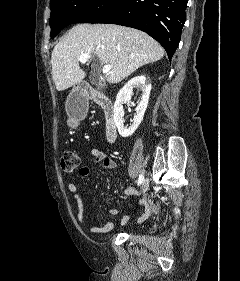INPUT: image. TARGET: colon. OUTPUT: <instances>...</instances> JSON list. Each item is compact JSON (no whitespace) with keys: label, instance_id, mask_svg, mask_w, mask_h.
I'll use <instances>...</instances> for the list:
<instances>
[{"label":"colon","instance_id":"1","mask_svg":"<svg viewBox=\"0 0 240 281\" xmlns=\"http://www.w3.org/2000/svg\"><path fill=\"white\" fill-rule=\"evenodd\" d=\"M81 164L79 154L75 150H67L61 158V167L64 171L72 172Z\"/></svg>","mask_w":240,"mask_h":281}]
</instances>
